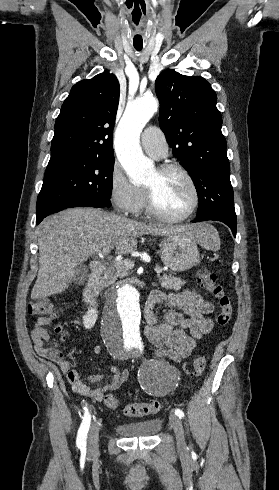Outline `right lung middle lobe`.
<instances>
[{
	"instance_id": "1",
	"label": "right lung middle lobe",
	"mask_w": 279,
	"mask_h": 490,
	"mask_svg": "<svg viewBox=\"0 0 279 490\" xmlns=\"http://www.w3.org/2000/svg\"><path fill=\"white\" fill-rule=\"evenodd\" d=\"M113 152L49 163L37 198L36 214L52 203L73 198H89L111 206Z\"/></svg>"
}]
</instances>
